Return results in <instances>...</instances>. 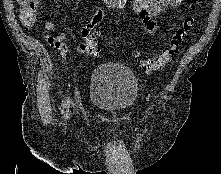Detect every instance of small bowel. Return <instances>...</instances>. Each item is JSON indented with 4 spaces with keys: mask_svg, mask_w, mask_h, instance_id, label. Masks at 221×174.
Segmentation results:
<instances>
[{
    "mask_svg": "<svg viewBox=\"0 0 221 174\" xmlns=\"http://www.w3.org/2000/svg\"><path fill=\"white\" fill-rule=\"evenodd\" d=\"M182 2L183 0H134L131 11L139 18L143 30L147 34L153 35L158 30L155 19L166 10L179 6ZM104 14L102 8H97L92 18L83 27L82 32H91L103 20ZM42 23L48 43L58 50L62 58L68 59V48L65 44L67 34L65 32L53 34L57 26L48 20H43ZM78 53L82 54L79 48Z\"/></svg>",
    "mask_w": 221,
    "mask_h": 174,
    "instance_id": "obj_1",
    "label": "small bowel"
}]
</instances>
